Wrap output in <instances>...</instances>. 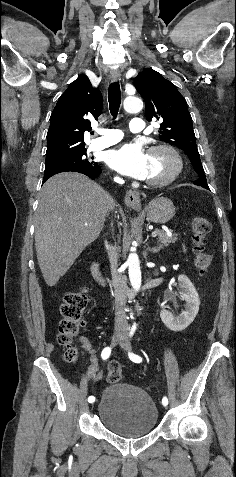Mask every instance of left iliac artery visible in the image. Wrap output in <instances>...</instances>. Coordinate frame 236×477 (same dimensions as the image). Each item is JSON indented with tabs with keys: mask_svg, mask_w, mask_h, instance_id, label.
<instances>
[{
	"mask_svg": "<svg viewBox=\"0 0 236 477\" xmlns=\"http://www.w3.org/2000/svg\"><path fill=\"white\" fill-rule=\"evenodd\" d=\"M135 329H136V326L134 325L131 329L130 336H132L134 334ZM129 358L135 363L142 362V358L140 356L134 354V353H129ZM164 402L167 403V405H168V399H167L166 396H164L163 399H162V403H164Z\"/></svg>",
	"mask_w": 236,
	"mask_h": 477,
	"instance_id": "1",
	"label": "left iliac artery"
}]
</instances>
